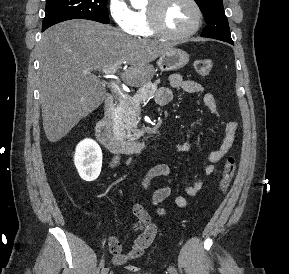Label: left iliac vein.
I'll use <instances>...</instances> for the list:
<instances>
[{"label": "left iliac vein", "mask_w": 289, "mask_h": 274, "mask_svg": "<svg viewBox=\"0 0 289 274\" xmlns=\"http://www.w3.org/2000/svg\"><path fill=\"white\" fill-rule=\"evenodd\" d=\"M170 274H178L177 270L175 268H170L169 269Z\"/></svg>", "instance_id": "4c4485c4"}]
</instances>
